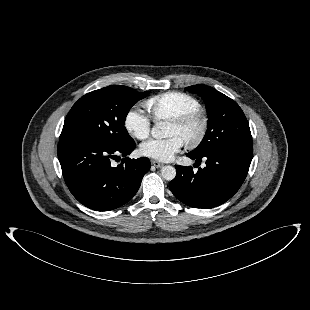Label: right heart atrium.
Returning <instances> with one entry per match:
<instances>
[{"label": "right heart atrium", "mask_w": 310, "mask_h": 310, "mask_svg": "<svg viewBox=\"0 0 310 310\" xmlns=\"http://www.w3.org/2000/svg\"><path fill=\"white\" fill-rule=\"evenodd\" d=\"M124 126L128 133L140 140L146 139L151 131V121L149 117L136 107H132L126 113Z\"/></svg>", "instance_id": "obj_1"}]
</instances>
